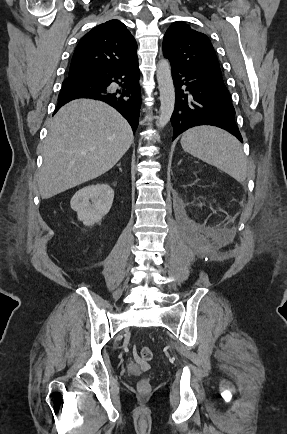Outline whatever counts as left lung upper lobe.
<instances>
[{
	"label": "left lung upper lobe",
	"instance_id": "obj_1",
	"mask_svg": "<svg viewBox=\"0 0 287 434\" xmlns=\"http://www.w3.org/2000/svg\"><path fill=\"white\" fill-rule=\"evenodd\" d=\"M163 55L172 64L201 70L223 82L219 62L209 38L184 22H174L166 31Z\"/></svg>",
	"mask_w": 287,
	"mask_h": 434
}]
</instances>
